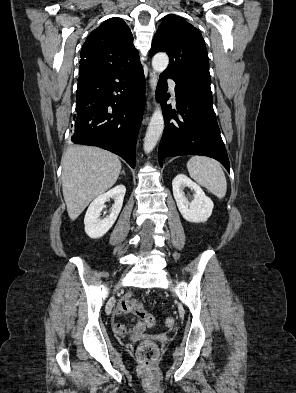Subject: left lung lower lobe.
I'll list each match as a JSON object with an SVG mask.
<instances>
[{
	"mask_svg": "<svg viewBox=\"0 0 296 393\" xmlns=\"http://www.w3.org/2000/svg\"><path fill=\"white\" fill-rule=\"evenodd\" d=\"M166 78L164 74L160 76L156 92L165 115V128L158 150L160 166L168 156L204 155L218 160L230 172L227 152L212 106L211 88L176 84L177 111L171 110V105L166 104Z\"/></svg>",
	"mask_w": 296,
	"mask_h": 393,
	"instance_id": "1",
	"label": "left lung lower lobe"
}]
</instances>
